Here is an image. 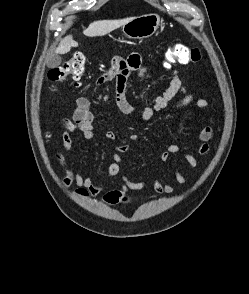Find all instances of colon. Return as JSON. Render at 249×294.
Returning <instances> with one entry per match:
<instances>
[{
    "instance_id": "5ec220e1",
    "label": "colon",
    "mask_w": 249,
    "mask_h": 294,
    "mask_svg": "<svg viewBox=\"0 0 249 294\" xmlns=\"http://www.w3.org/2000/svg\"><path fill=\"white\" fill-rule=\"evenodd\" d=\"M200 57V50L196 47H189L182 44L171 45L168 46L165 51L164 64L167 66H171L173 64L189 65L197 63L200 60ZM85 60L86 58L84 53L76 52L62 66L50 70L47 74V79L54 83L71 79L76 84H79L85 73ZM126 70V59L123 57H116L112 60L111 67L107 74L118 75Z\"/></svg>"
}]
</instances>
